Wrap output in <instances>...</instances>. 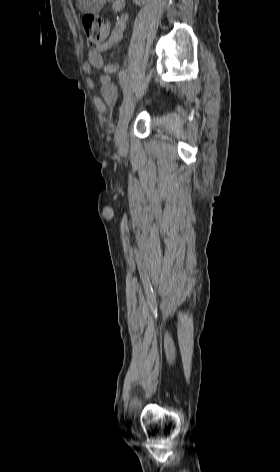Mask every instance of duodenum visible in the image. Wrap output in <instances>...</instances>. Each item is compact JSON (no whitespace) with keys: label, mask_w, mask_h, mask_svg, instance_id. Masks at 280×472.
<instances>
[{"label":"duodenum","mask_w":280,"mask_h":472,"mask_svg":"<svg viewBox=\"0 0 280 472\" xmlns=\"http://www.w3.org/2000/svg\"><path fill=\"white\" fill-rule=\"evenodd\" d=\"M123 5H124V0H116L113 8L115 11H119L120 9H122Z\"/></svg>","instance_id":"duodenum-1"}]
</instances>
